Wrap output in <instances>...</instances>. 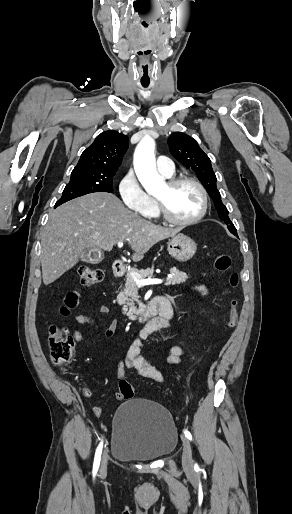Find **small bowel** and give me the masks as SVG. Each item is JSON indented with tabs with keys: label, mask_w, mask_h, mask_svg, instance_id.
<instances>
[{
	"label": "small bowel",
	"mask_w": 292,
	"mask_h": 514,
	"mask_svg": "<svg viewBox=\"0 0 292 514\" xmlns=\"http://www.w3.org/2000/svg\"><path fill=\"white\" fill-rule=\"evenodd\" d=\"M193 289L197 292L204 293L206 291V288L202 284H197L193 287ZM98 311L101 315H107L109 313V307L106 304H100L98 306ZM175 312L174 309H172L171 316L169 318H164L161 321V327L162 328H171L173 326L172 320L174 318ZM74 322L78 325H96V321L93 317L85 314L77 315L74 318ZM117 329L116 322H113L110 324L105 332V337L109 338L114 335L115 331ZM71 336L73 340L77 343H84L86 340L85 335L77 330L74 329L71 331ZM138 351L137 349H131L125 360H119L116 363L115 371H116V378L117 380L122 382L126 381V365H131L134 370L143 378L151 379L154 381L162 382L164 380V377L162 373L151 363H149L147 360L139 357L137 355ZM184 354V349L180 346L173 345L168 349V358L167 361L169 364H178L180 362L181 356ZM128 383V382H127ZM100 396L102 398H106L108 396V393L106 391H102L100 393ZM109 396H112V393H109ZM111 400H115L118 402H123L125 400V397L123 395H120L119 392L115 393V397H111Z\"/></svg>",
	"instance_id": "small-bowel-1"
}]
</instances>
